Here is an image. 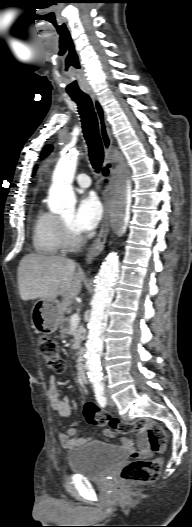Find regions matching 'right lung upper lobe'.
Listing matches in <instances>:
<instances>
[{
    "label": "right lung upper lobe",
    "mask_w": 192,
    "mask_h": 527,
    "mask_svg": "<svg viewBox=\"0 0 192 527\" xmlns=\"http://www.w3.org/2000/svg\"><path fill=\"white\" fill-rule=\"evenodd\" d=\"M52 149V146L48 145L43 151V157L46 156Z\"/></svg>",
    "instance_id": "cb5924a9"
}]
</instances>
